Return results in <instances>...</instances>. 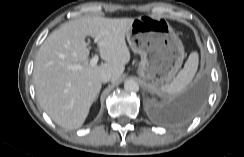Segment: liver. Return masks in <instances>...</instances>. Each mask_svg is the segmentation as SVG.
<instances>
[{
    "label": "liver",
    "instance_id": "6515ba94",
    "mask_svg": "<svg viewBox=\"0 0 244 157\" xmlns=\"http://www.w3.org/2000/svg\"><path fill=\"white\" fill-rule=\"evenodd\" d=\"M132 21L83 17L62 24L42 43L34 61L33 83L40 106L56 124L80 128L101 90L99 76L109 72L113 82L120 79L130 61L125 36ZM86 36L98 38L105 63L90 64ZM74 65L82 68L73 70Z\"/></svg>",
    "mask_w": 244,
    "mask_h": 157
}]
</instances>
